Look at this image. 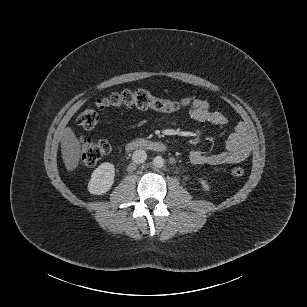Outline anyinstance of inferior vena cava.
<instances>
[{"label":"inferior vena cava","mask_w":307,"mask_h":307,"mask_svg":"<svg viewBox=\"0 0 307 307\" xmlns=\"http://www.w3.org/2000/svg\"><path fill=\"white\" fill-rule=\"evenodd\" d=\"M147 160V153L143 149H138L134 151L132 155V161L134 163H144Z\"/></svg>","instance_id":"1"}]
</instances>
